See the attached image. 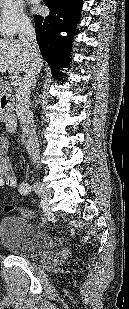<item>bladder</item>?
I'll use <instances>...</instances> for the list:
<instances>
[{
  "label": "bladder",
  "mask_w": 129,
  "mask_h": 309,
  "mask_svg": "<svg viewBox=\"0 0 129 309\" xmlns=\"http://www.w3.org/2000/svg\"><path fill=\"white\" fill-rule=\"evenodd\" d=\"M0 242L8 251L24 258L41 256L54 246L49 234L36 229L21 215H7L1 218Z\"/></svg>",
  "instance_id": "bladder-1"
}]
</instances>
